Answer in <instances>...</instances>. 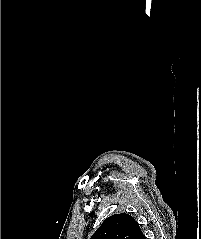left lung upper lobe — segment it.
<instances>
[{
	"instance_id": "obj_1",
	"label": "left lung upper lobe",
	"mask_w": 201,
	"mask_h": 239,
	"mask_svg": "<svg viewBox=\"0 0 201 239\" xmlns=\"http://www.w3.org/2000/svg\"><path fill=\"white\" fill-rule=\"evenodd\" d=\"M91 239H146L139 224L128 214L108 217Z\"/></svg>"
}]
</instances>
